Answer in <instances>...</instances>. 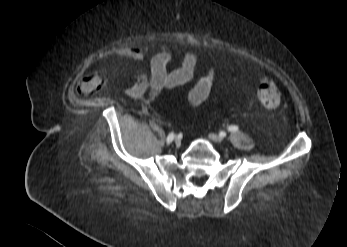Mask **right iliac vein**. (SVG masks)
<instances>
[{"instance_id": "right-iliac-vein-1", "label": "right iliac vein", "mask_w": 347, "mask_h": 247, "mask_svg": "<svg viewBox=\"0 0 347 247\" xmlns=\"http://www.w3.org/2000/svg\"><path fill=\"white\" fill-rule=\"evenodd\" d=\"M174 142H175L176 144H179V143H180V138H179L178 136H175V137H174Z\"/></svg>"}]
</instances>
